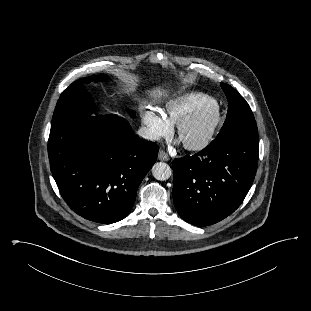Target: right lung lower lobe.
Listing matches in <instances>:
<instances>
[{
  "instance_id": "right-lung-lower-lobe-1",
  "label": "right lung lower lobe",
  "mask_w": 311,
  "mask_h": 311,
  "mask_svg": "<svg viewBox=\"0 0 311 311\" xmlns=\"http://www.w3.org/2000/svg\"><path fill=\"white\" fill-rule=\"evenodd\" d=\"M159 147L139 138L113 114L77 115L53 124L48 140L52 175L78 215L111 224L125 218Z\"/></svg>"
}]
</instances>
